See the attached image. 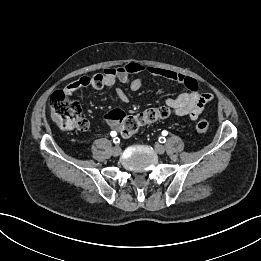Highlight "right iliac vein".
Segmentation results:
<instances>
[{"label": "right iliac vein", "mask_w": 261, "mask_h": 261, "mask_svg": "<svg viewBox=\"0 0 261 261\" xmlns=\"http://www.w3.org/2000/svg\"><path fill=\"white\" fill-rule=\"evenodd\" d=\"M121 154V148L119 146H115L112 149L113 156H119Z\"/></svg>", "instance_id": "obj_1"}]
</instances>
